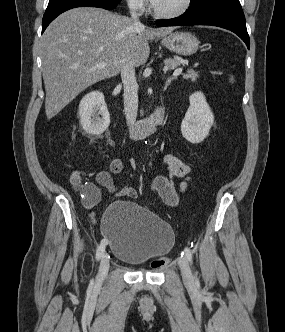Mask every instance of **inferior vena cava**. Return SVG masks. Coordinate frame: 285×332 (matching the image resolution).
I'll list each match as a JSON object with an SVG mask.
<instances>
[{"mask_svg":"<svg viewBox=\"0 0 285 332\" xmlns=\"http://www.w3.org/2000/svg\"><path fill=\"white\" fill-rule=\"evenodd\" d=\"M137 6V2L130 6V14L135 25L140 23ZM121 78L124 85V111L126 121L129 126H132L136 121L138 111V84L135 77L134 66L130 62L122 67Z\"/></svg>","mask_w":285,"mask_h":332,"instance_id":"1","label":"inferior vena cava"}]
</instances>
